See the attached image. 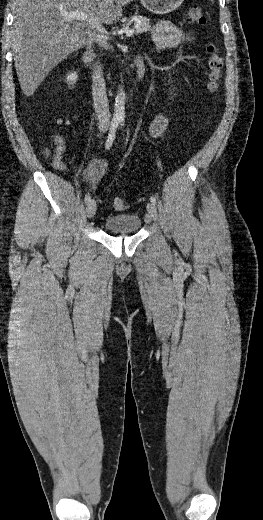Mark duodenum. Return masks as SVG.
Masks as SVG:
<instances>
[{
	"instance_id": "410a0bca",
	"label": "duodenum",
	"mask_w": 263,
	"mask_h": 520,
	"mask_svg": "<svg viewBox=\"0 0 263 520\" xmlns=\"http://www.w3.org/2000/svg\"><path fill=\"white\" fill-rule=\"evenodd\" d=\"M93 49L88 48L83 55V63L85 68L88 71H92V61H93ZM134 70H135V81H140L145 73L144 59L141 56H137L134 60Z\"/></svg>"
}]
</instances>
